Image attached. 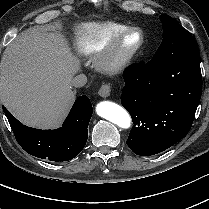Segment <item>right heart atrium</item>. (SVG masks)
<instances>
[{"label": "right heart atrium", "instance_id": "1", "mask_svg": "<svg viewBox=\"0 0 209 209\" xmlns=\"http://www.w3.org/2000/svg\"><path fill=\"white\" fill-rule=\"evenodd\" d=\"M75 71V67L74 66H69L66 72V77H70Z\"/></svg>", "mask_w": 209, "mask_h": 209}]
</instances>
